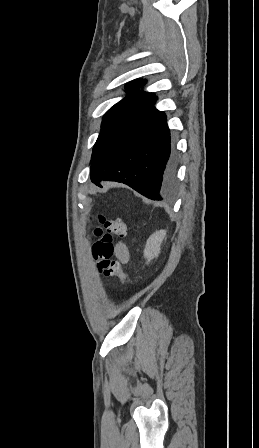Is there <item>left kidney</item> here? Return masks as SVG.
I'll return each instance as SVG.
<instances>
[{"instance_id": "5707ae66", "label": "left kidney", "mask_w": 259, "mask_h": 448, "mask_svg": "<svg viewBox=\"0 0 259 448\" xmlns=\"http://www.w3.org/2000/svg\"><path fill=\"white\" fill-rule=\"evenodd\" d=\"M165 236V230H159V232H155V234H152V236L148 238L144 248V258H146L147 262H151L154 258H158V254H160L161 250L160 246Z\"/></svg>"}]
</instances>
